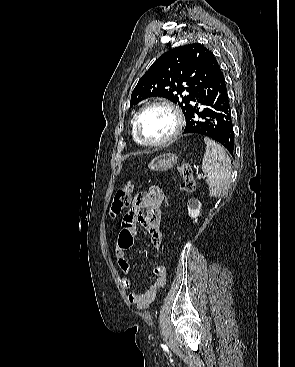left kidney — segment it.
I'll use <instances>...</instances> for the list:
<instances>
[{
    "label": "left kidney",
    "mask_w": 295,
    "mask_h": 367,
    "mask_svg": "<svg viewBox=\"0 0 295 367\" xmlns=\"http://www.w3.org/2000/svg\"><path fill=\"white\" fill-rule=\"evenodd\" d=\"M202 204L197 199H190L188 201V215L195 219V222H197V217L200 215Z\"/></svg>",
    "instance_id": "1"
}]
</instances>
